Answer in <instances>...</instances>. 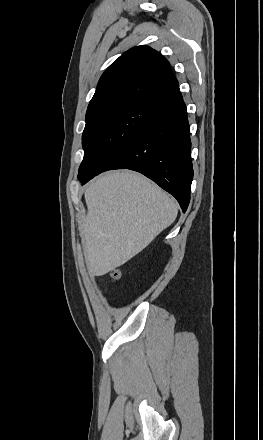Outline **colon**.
<instances>
[{
  "mask_svg": "<svg viewBox=\"0 0 263 440\" xmlns=\"http://www.w3.org/2000/svg\"><path fill=\"white\" fill-rule=\"evenodd\" d=\"M123 276L122 271L120 269H114L111 272V277L113 280L117 281L119 279H121V277Z\"/></svg>",
  "mask_w": 263,
  "mask_h": 440,
  "instance_id": "1",
  "label": "colon"
}]
</instances>
